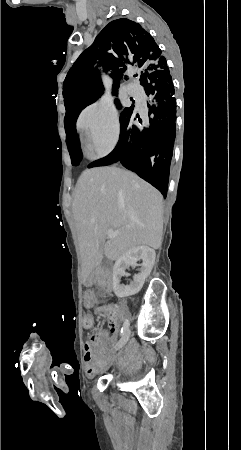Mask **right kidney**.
Wrapping results in <instances>:
<instances>
[{
	"instance_id": "right-kidney-1",
	"label": "right kidney",
	"mask_w": 241,
	"mask_h": 450,
	"mask_svg": "<svg viewBox=\"0 0 241 450\" xmlns=\"http://www.w3.org/2000/svg\"><path fill=\"white\" fill-rule=\"evenodd\" d=\"M155 258V250H152L149 246H137V248H131V250H127L125 254H122V256L116 260L113 268L114 294H116L118 298H126V296L138 294L155 264ZM138 260H142V268H140L139 274L134 276V280L133 282H130L129 286L120 284L122 276H126L125 270H128L130 266H133V268L138 266Z\"/></svg>"
}]
</instances>
